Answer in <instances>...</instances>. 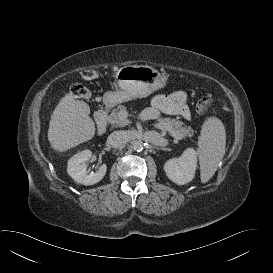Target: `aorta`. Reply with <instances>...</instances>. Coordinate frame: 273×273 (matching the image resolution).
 <instances>
[{
    "label": "aorta",
    "instance_id": "aorta-1",
    "mask_svg": "<svg viewBox=\"0 0 273 273\" xmlns=\"http://www.w3.org/2000/svg\"><path fill=\"white\" fill-rule=\"evenodd\" d=\"M132 147L135 151L140 152L144 149V142L142 140H135Z\"/></svg>",
    "mask_w": 273,
    "mask_h": 273
}]
</instances>
